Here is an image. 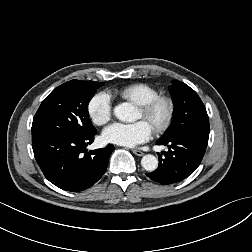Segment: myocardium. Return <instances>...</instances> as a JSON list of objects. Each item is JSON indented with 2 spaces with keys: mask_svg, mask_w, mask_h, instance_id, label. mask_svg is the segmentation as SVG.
<instances>
[{
  "mask_svg": "<svg viewBox=\"0 0 252 252\" xmlns=\"http://www.w3.org/2000/svg\"><path fill=\"white\" fill-rule=\"evenodd\" d=\"M142 117L146 119L156 132H164L172 123L175 105L167 96H157L148 103L139 106Z\"/></svg>",
  "mask_w": 252,
  "mask_h": 252,
  "instance_id": "obj_1",
  "label": "myocardium"
}]
</instances>
